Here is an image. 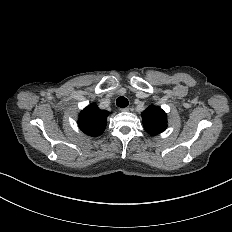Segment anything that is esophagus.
<instances>
[{
    "instance_id": "34e87169",
    "label": "esophagus",
    "mask_w": 232,
    "mask_h": 232,
    "mask_svg": "<svg viewBox=\"0 0 232 232\" xmlns=\"http://www.w3.org/2000/svg\"><path fill=\"white\" fill-rule=\"evenodd\" d=\"M119 110L121 112H128L129 111V107L120 108Z\"/></svg>"
}]
</instances>
